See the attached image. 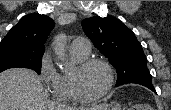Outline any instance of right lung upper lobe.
Masks as SVG:
<instances>
[{"label": "right lung upper lobe", "instance_id": "right-lung-upper-lobe-1", "mask_svg": "<svg viewBox=\"0 0 171 110\" xmlns=\"http://www.w3.org/2000/svg\"><path fill=\"white\" fill-rule=\"evenodd\" d=\"M53 27L54 21L46 15H26L10 29L0 45H14L34 53H44V43Z\"/></svg>", "mask_w": 171, "mask_h": 110}]
</instances>
